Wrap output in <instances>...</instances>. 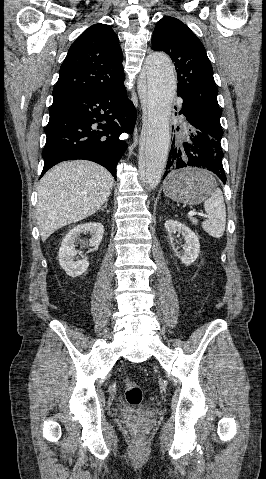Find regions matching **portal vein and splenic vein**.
<instances>
[{
  "label": "portal vein and splenic vein",
  "mask_w": 266,
  "mask_h": 479,
  "mask_svg": "<svg viewBox=\"0 0 266 479\" xmlns=\"http://www.w3.org/2000/svg\"><path fill=\"white\" fill-rule=\"evenodd\" d=\"M196 215H202V214H200V213H198V212H195L194 210H192V211H190V212L188 213V216H189V217H193V216H196ZM202 216H203V215H202Z\"/></svg>",
  "instance_id": "18ae733b"
}]
</instances>
